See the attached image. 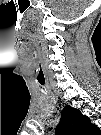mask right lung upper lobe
Instances as JSON below:
<instances>
[{"label":"right lung upper lobe","instance_id":"right-lung-upper-lobe-1","mask_svg":"<svg viewBox=\"0 0 101 135\" xmlns=\"http://www.w3.org/2000/svg\"><path fill=\"white\" fill-rule=\"evenodd\" d=\"M55 133L59 135H97L98 129L80 111L66 106Z\"/></svg>","mask_w":101,"mask_h":135}]
</instances>
